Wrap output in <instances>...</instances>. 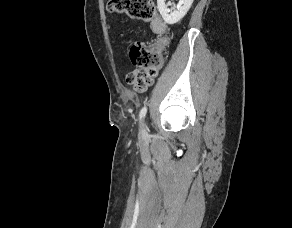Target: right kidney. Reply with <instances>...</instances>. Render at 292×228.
<instances>
[{"label":"right kidney","instance_id":"ca27d5eb","mask_svg":"<svg viewBox=\"0 0 292 228\" xmlns=\"http://www.w3.org/2000/svg\"><path fill=\"white\" fill-rule=\"evenodd\" d=\"M166 0H157L158 10L167 24L173 25L179 22L188 12L194 0H179L175 8L171 10L165 4Z\"/></svg>","mask_w":292,"mask_h":228}]
</instances>
